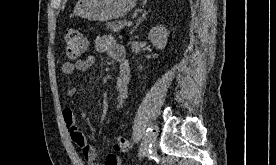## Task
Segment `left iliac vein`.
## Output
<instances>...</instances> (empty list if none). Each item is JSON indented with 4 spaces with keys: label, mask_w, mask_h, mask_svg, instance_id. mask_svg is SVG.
Returning <instances> with one entry per match:
<instances>
[{
    "label": "left iliac vein",
    "mask_w": 276,
    "mask_h": 165,
    "mask_svg": "<svg viewBox=\"0 0 276 165\" xmlns=\"http://www.w3.org/2000/svg\"><path fill=\"white\" fill-rule=\"evenodd\" d=\"M149 151L147 152V156L150 158L155 155L156 148H157V134L152 132L149 136Z\"/></svg>",
    "instance_id": "4c4485c4"
}]
</instances>
